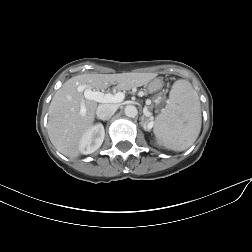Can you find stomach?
Masks as SVG:
<instances>
[{"label":"stomach","mask_w":252,"mask_h":252,"mask_svg":"<svg viewBox=\"0 0 252 252\" xmlns=\"http://www.w3.org/2000/svg\"><path fill=\"white\" fill-rule=\"evenodd\" d=\"M162 86L163 81L161 79L156 78L148 84L147 90L149 93H153L159 91L162 88Z\"/></svg>","instance_id":"1"}]
</instances>
